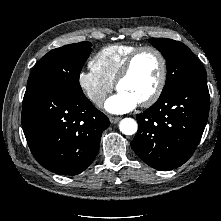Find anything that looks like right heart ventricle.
<instances>
[{
	"label": "right heart ventricle",
	"mask_w": 221,
	"mask_h": 221,
	"mask_svg": "<svg viewBox=\"0 0 221 221\" xmlns=\"http://www.w3.org/2000/svg\"><path fill=\"white\" fill-rule=\"evenodd\" d=\"M141 47L137 44H112L99 50L92 58L91 67L102 77L115 83L127 57Z\"/></svg>",
	"instance_id": "e07e8e85"
}]
</instances>
